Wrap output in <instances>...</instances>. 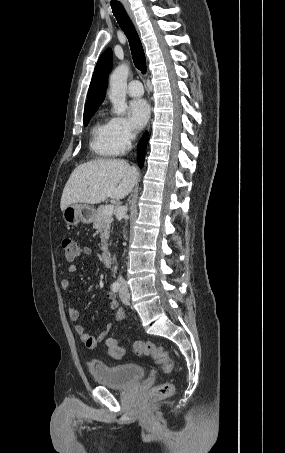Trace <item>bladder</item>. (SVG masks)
<instances>
[{
  "instance_id": "1",
  "label": "bladder",
  "mask_w": 285,
  "mask_h": 453,
  "mask_svg": "<svg viewBox=\"0 0 285 453\" xmlns=\"http://www.w3.org/2000/svg\"><path fill=\"white\" fill-rule=\"evenodd\" d=\"M89 371L97 383L111 388H127L145 375L144 368L137 363L107 365L93 361L89 364Z\"/></svg>"
}]
</instances>
